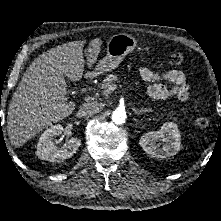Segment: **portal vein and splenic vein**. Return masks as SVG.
Here are the masks:
<instances>
[{
  "label": "portal vein and splenic vein",
  "instance_id": "obj_1",
  "mask_svg": "<svg viewBox=\"0 0 221 221\" xmlns=\"http://www.w3.org/2000/svg\"><path fill=\"white\" fill-rule=\"evenodd\" d=\"M115 85H111L110 88L108 89V92L110 93L111 91H113L115 89Z\"/></svg>",
  "mask_w": 221,
  "mask_h": 221
}]
</instances>
